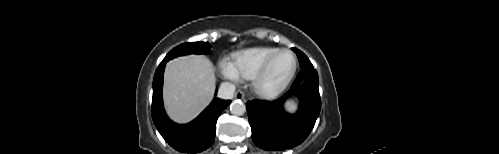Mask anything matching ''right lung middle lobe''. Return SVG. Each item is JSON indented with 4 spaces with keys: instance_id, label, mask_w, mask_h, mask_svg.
<instances>
[{
    "instance_id": "obj_1",
    "label": "right lung middle lobe",
    "mask_w": 499,
    "mask_h": 154,
    "mask_svg": "<svg viewBox=\"0 0 499 154\" xmlns=\"http://www.w3.org/2000/svg\"><path fill=\"white\" fill-rule=\"evenodd\" d=\"M210 45L208 42H192L185 43L180 46H177L173 50H171L166 57L165 61L173 59L177 56L186 55V54H209Z\"/></svg>"
}]
</instances>
